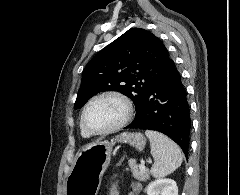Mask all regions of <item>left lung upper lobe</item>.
I'll list each match as a JSON object with an SVG mask.
<instances>
[{"instance_id":"1","label":"left lung upper lobe","mask_w":240,"mask_h":195,"mask_svg":"<svg viewBox=\"0 0 240 195\" xmlns=\"http://www.w3.org/2000/svg\"><path fill=\"white\" fill-rule=\"evenodd\" d=\"M170 57L154 34L132 28L97 53L82 73L75 109L103 91H119L142 109L152 85L165 74Z\"/></svg>"}]
</instances>
